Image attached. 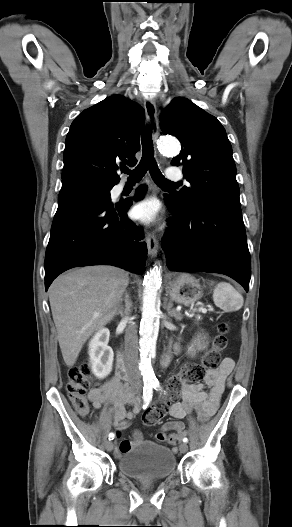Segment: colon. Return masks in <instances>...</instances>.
Here are the masks:
<instances>
[{
	"label": "colon",
	"instance_id": "1",
	"mask_svg": "<svg viewBox=\"0 0 292 527\" xmlns=\"http://www.w3.org/2000/svg\"><path fill=\"white\" fill-rule=\"evenodd\" d=\"M228 331V324L226 322L220 323L212 348L204 354L201 361L184 365L178 374L168 380V397L157 401L144 411L142 417L144 425L153 426L158 424L168 412L169 402L177 398L183 384H199L209 370H213L219 365L222 352L228 345ZM93 386L92 370L88 364H80L70 368L66 390L75 410L82 416L87 415L89 412L86 394Z\"/></svg>",
	"mask_w": 292,
	"mask_h": 527
}]
</instances>
